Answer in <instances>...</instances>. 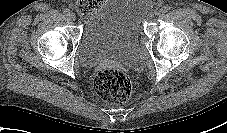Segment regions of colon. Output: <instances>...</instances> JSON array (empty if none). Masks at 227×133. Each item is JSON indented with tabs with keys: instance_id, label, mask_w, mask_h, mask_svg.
Masks as SVG:
<instances>
[{
	"instance_id": "obj_1",
	"label": "colon",
	"mask_w": 227,
	"mask_h": 133,
	"mask_svg": "<svg viewBox=\"0 0 227 133\" xmlns=\"http://www.w3.org/2000/svg\"><path fill=\"white\" fill-rule=\"evenodd\" d=\"M103 0H78L77 10L84 16L93 14ZM95 90L104 100L112 103H124L132 94V81L122 70L104 68L95 77Z\"/></svg>"
}]
</instances>
